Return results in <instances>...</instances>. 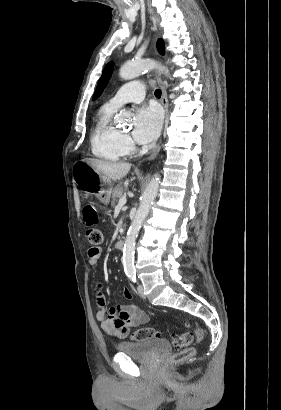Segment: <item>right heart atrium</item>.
Returning a JSON list of instances; mask_svg holds the SVG:
<instances>
[{
  "instance_id": "obj_1",
  "label": "right heart atrium",
  "mask_w": 281,
  "mask_h": 410,
  "mask_svg": "<svg viewBox=\"0 0 281 410\" xmlns=\"http://www.w3.org/2000/svg\"><path fill=\"white\" fill-rule=\"evenodd\" d=\"M123 142L126 146L128 153L134 150V145L128 136H123Z\"/></svg>"
}]
</instances>
